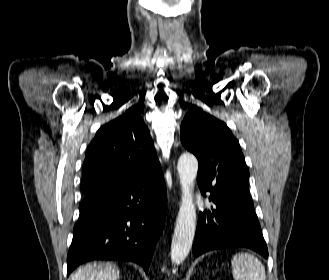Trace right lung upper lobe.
Returning a JSON list of instances; mask_svg holds the SVG:
<instances>
[{"mask_svg": "<svg viewBox=\"0 0 329 280\" xmlns=\"http://www.w3.org/2000/svg\"><path fill=\"white\" fill-rule=\"evenodd\" d=\"M162 172L143 118L134 111L100 127L87 148L83 193L112 182H132Z\"/></svg>", "mask_w": 329, "mask_h": 280, "instance_id": "obj_1", "label": "right lung upper lobe"}]
</instances>
